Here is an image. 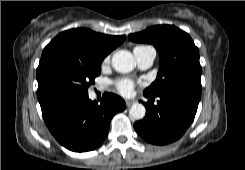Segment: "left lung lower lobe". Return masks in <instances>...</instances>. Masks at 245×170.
Instances as JSON below:
<instances>
[{"instance_id":"obj_1","label":"left lung lower lobe","mask_w":245,"mask_h":170,"mask_svg":"<svg viewBox=\"0 0 245 170\" xmlns=\"http://www.w3.org/2000/svg\"><path fill=\"white\" fill-rule=\"evenodd\" d=\"M150 98L145 117L135 122L136 132L148 143L165 145L178 140L194 120L200 96L193 93L174 90L158 96L145 94ZM154 97H159L157 105Z\"/></svg>"}]
</instances>
